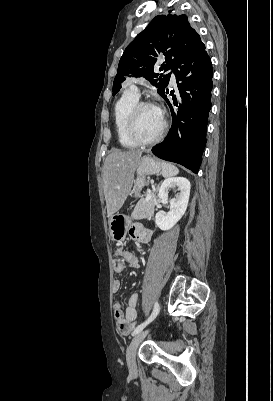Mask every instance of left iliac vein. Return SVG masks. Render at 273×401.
<instances>
[{
    "mask_svg": "<svg viewBox=\"0 0 273 401\" xmlns=\"http://www.w3.org/2000/svg\"><path fill=\"white\" fill-rule=\"evenodd\" d=\"M148 331H141L138 334L134 336L132 339L130 345L127 348V365L130 373L134 374L137 372V367H136V351L138 348V345L144 340V338L147 336Z\"/></svg>",
    "mask_w": 273,
    "mask_h": 401,
    "instance_id": "left-iliac-vein-1",
    "label": "left iliac vein"
}]
</instances>
